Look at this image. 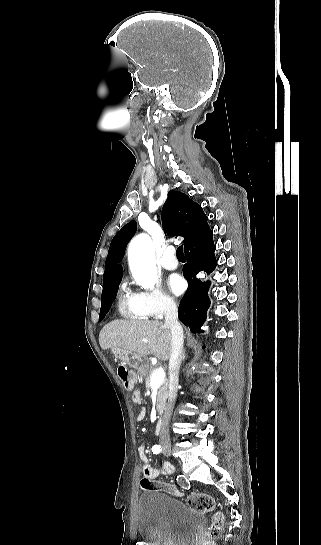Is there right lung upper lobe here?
Segmentation results:
<instances>
[{
  "mask_svg": "<svg viewBox=\"0 0 321 545\" xmlns=\"http://www.w3.org/2000/svg\"><path fill=\"white\" fill-rule=\"evenodd\" d=\"M161 216L165 232L170 236H183L184 246L208 226L207 217L200 205L174 190L169 191ZM136 229V222L131 221L113 238L105 263L103 290L120 283L122 266L118 263Z\"/></svg>",
  "mask_w": 321,
  "mask_h": 545,
  "instance_id": "1",
  "label": "right lung upper lobe"
}]
</instances>
